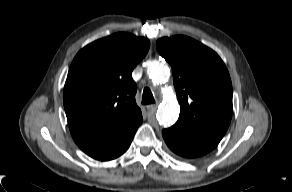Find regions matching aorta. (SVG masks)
<instances>
[{
    "mask_svg": "<svg viewBox=\"0 0 292 192\" xmlns=\"http://www.w3.org/2000/svg\"><path fill=\"white\" fill-rule=\"evenodd\" d=\"M147 73L149 78L155 83H162L170 76L169 67L158 61L153 60L148 63ZM179 116V104L176 100H169L157 111V120L163 126H170L175 123Z\"/></svg>",
    "mask_w": 292,
    "mask_h": 192,
    "instance_id": "1",
    "label": "aorta"
}]
</instances>
